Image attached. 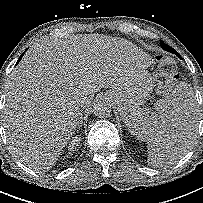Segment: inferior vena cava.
<instances>
[{
  "label": "inferior vena cava",
  "mask_w": 203,
  "mask_h": 203,
  "mask_svg": "<svg viewBox=\"0 0 203 203\" xmlns=\"http://www.w3.org/2000/svg\"><path fill=\"white\" fill-rule=\"evenodd\" d=\"M81 103H82L81 105H82V106H84V103H85V102H84V101H82Z\"/></svg>",
  "instance_id": "602c4592"
}]
</instances>
